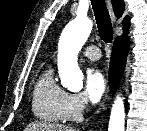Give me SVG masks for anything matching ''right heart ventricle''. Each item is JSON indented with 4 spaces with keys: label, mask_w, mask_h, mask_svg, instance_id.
Masks as SVG:
<instances>
[{
    "label": "right heart ventricle",
    "mask_w": 147,
    "mask_h": 131,
    "mask_svg": "<svg viewBox=\"0 0 147 131\" xmlns=\"http://www.w3.org/2000/svg\"><path fill=\"white\" fill-rule=\"evenodd\" d=\"M66 92L56 83L52 69H46L38 78L32 99L34 115L44 121L60 122L62 102Z\"/></svg>",
    "instance_id": "obj_1"
}]
</instances>
